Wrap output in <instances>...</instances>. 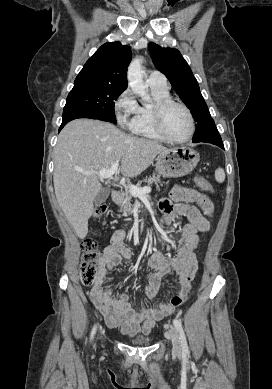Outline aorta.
<instances>
[{
	"label": "aorta",
	"instance_id": "762f6f07",
	"mask_svg": "<svg viewBox=\"0 0 272 389\" xmlns=\"http://www.w3.org/2000/svg\"><path fill=\"white\" fill-rule=\"evenodd\" d=\"M143 74L142 59L135 58L128 67V83L135 94L139 95L143 101L149 102L150 96L147 87L144 85Z\"/></svg>",
	"mask_w": 272,
	"mask_h": 389
}]
</instances>
